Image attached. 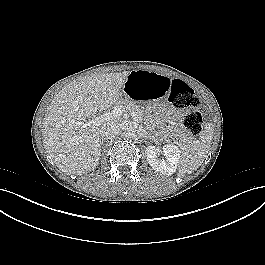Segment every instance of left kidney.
<instances>
[{
    "instance_id": "1",
    "label": "left kidney",
    "mask_w": 265,
    "mask_h": 265,
    "mask_svg": "<svg viewBox=\"0 0 265 265\" xmlns=\"http://www.w3.org/2000/svg\"><path fill=\"white\" fill-rule=\"evenodd\" d=\"M146 158L153 170L165 175H172L176 172L180 154V149L173 144L164 145L163 148L156 146H148L145 150ZM163 153L166 160L158 158V155Z\"/></svg>"
}]
</instances>
